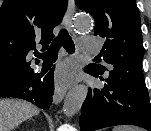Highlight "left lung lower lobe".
Wrapping results in <instances>:
<instances>
[{
	"label": "left lung lower lobe",
	"mask_w": 151,
	"mask_h": 131,
	"mask_svg": "<svg viewBox=\"0 0 151 131\" xmlns=\"http://www.w3.org/2000/svg\"><path fill=\"white\" fill-rule=\"evenodd\" d=\"M85 72L104 82L90 88L82 105L81 131L136 125L151 131V104L141 69L111 70L104 79L90 66Z\"/></svg>",
	"instance_id": "1"
}]
</instances>
